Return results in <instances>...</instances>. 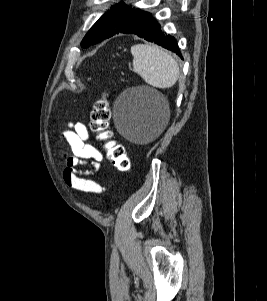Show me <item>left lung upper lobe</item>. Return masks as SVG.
<instances>
[{
  "instance_id": "obj_1",
  "label": "left lung upper lobe",
  "mask_w": 267,
  "mask_h": 301,
  "mask_svg": "<svg viewBox=\"0 0 267 301\" xmlns=\"http://www.w3.org/2000/svg\"><path fill=\"white\" fill-rule=\"evenodd\" d=\"M111 8L112 10L104 13L85 35L81 42L83 48H88L106 38L123 33L151 15L146 11L132 9L124 2Z\"/></svg>"
}]
</instances>
